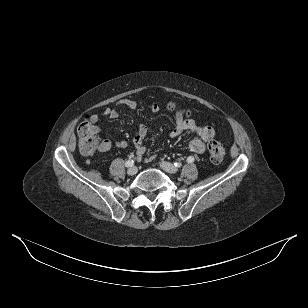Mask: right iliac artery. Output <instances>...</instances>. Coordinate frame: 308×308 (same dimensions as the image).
Masks as SVG:
<instances>
[{"label":"right iliac artery","mask_w":308,"mask_h":308,"mask_svg":"<svg viewBox=\"0 0 308 308\" xmlns=\"http://www.w3.org/2000/svg\"><path fill=\"white\" fill-rule=\"evenodd\" d=\"M134 165V161L133 160H128V161H126V163H125V166L126 167H131V166H133Z\"/></svg>","instance_id":"82829eb1"}]
</instances>
